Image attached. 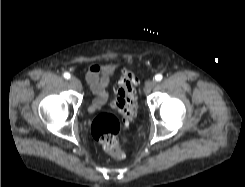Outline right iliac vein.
<instances>
[{
  "label": "right iliac vein",
  "instance_id": "right-iliac-vein-1",
  "mask_svg": "<svg viewBox=\"0 0 245 187\" xmlns=\"http://www.w3.org/2000/svg\"><path fill=\"white\" fill-rule=\"evenodd\" d=\"M69 82L72 85V87H74L75 89H77V90L82 89L81 82L77 78L72 77V78H70Z\"/></svg>",
  "mask_w": 245,
  "mask_h": 187
}]
</instances>
